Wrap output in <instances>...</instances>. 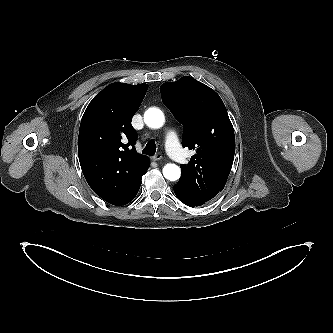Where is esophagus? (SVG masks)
Segmentation results:
<instances>
[{
    "instance_id": "esophagus-1",
    "label": "esophagus",
    "mask_w": 333,
    "mask_h": 333,
    "mask_svg": "<svg viewBox=\"0 0 333 333\" xmlns=\"http://www.w3.org/2000/svg\"><path fill=\"white\" fill-rule=\"evenodd\" d=\"M153 161H160L162 159V156L160 154H155L151 157Z\"/></svg>"
}]
</instances>
